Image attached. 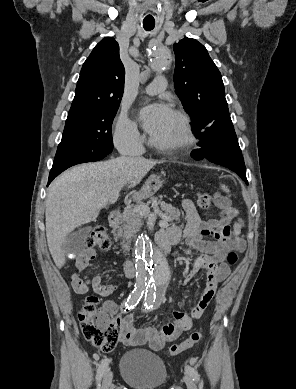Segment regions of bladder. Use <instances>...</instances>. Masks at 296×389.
I'll list each match as a JSON object with an SVG mask.
<instances>
[{"mask_svg": "<svg viewBox=\"0 0 296 389\" xmlns=\"http://www.w3.org/2000/svg\"><path fill=\"white\" fill-rule=\"evenodd\" d=\"M123 380L134 389H160L167 381L163 360L144 349H130L120 360Z\"/></svg>", "mask_w": 296, "mask_h": 389, "instance_id": "obj_1", "label": "bladder"}]
</instances>
